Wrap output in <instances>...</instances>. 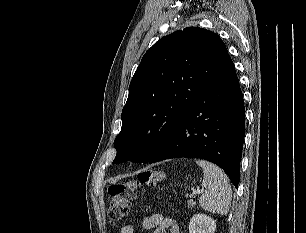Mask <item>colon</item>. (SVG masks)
I'll return each mask as SVG.
<instances>
[{
  "label": "colon",
  "instance_id": "obj_1",
  "mask_svg": "<svg viewBox=\"0 0 306 233\" xmlns=\"http://www.w3.org/2000/svg\"><path fill=\"white\" fill-rule=\"evenodd\" d=\"M163 177L161 170H152L140 173L136 180L111 184L108 188L110 196L108 217L111 223L119 222L127 217L139 187H154Z\"/></svg>",
  "mask_w": 306,
  "mask_h": 233
}]
</instances>
